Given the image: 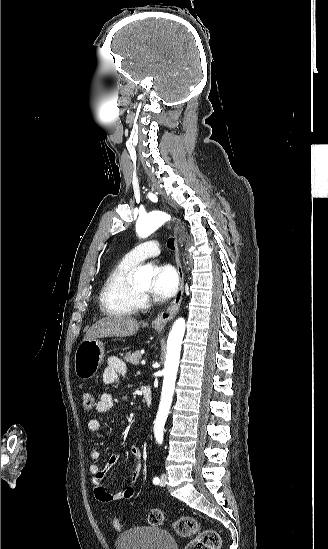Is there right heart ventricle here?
I'll return each mask as SVG.
<instances>
[{
  "label": "right heart ventricle",
  "instance_id": "1",
  "mask_svg": "<svg viewBox=\"0 0 328 549\" xmlns=\"http://www.w3.org/2000/svg\"><path fill=\"white\" fill-rule=\"evenodd\" d=\"M140 263L129 260L126 255L108 275L100 291L101 319H136L139 304L130 293V282Z\"/></svg>",
  "mask_w": 328,
  "mask_h": 549
}]
</instances>
